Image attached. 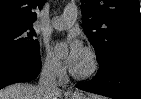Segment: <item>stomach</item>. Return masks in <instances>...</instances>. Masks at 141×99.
<instances>
[{
    "label": "stomach",
    "mask_w": 141,
    "mask_h": 99,
    "mask_svg": "<svg viewBox=\"0 0 141 99\" xmlns=\"http://www.w3.org/2000/svg\"><path fill=\"white\" fill-rule=\"evenodd\" d=\"M71 99H85V98L82 97V96H80V97H78V96H73Z\"/></svg>",
    "instance_id": "obj_1"
}]
</instances>
